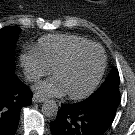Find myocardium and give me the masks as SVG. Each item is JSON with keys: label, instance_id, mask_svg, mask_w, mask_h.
<instances>
[{"label": "myocardium", "instance_id": "1", "mask_svg": "<svg viewBox=\"0 0 135 135\" xmlns=\"http://www.w3.org/2000/svg\"><path fill=\"white\" fill-rule=\"evenodd\" d=\"M90 48H97L100 50V52L102 54V64H101V67H100V70H99L97 77L95 78V80L91 83V85L86 90H84L83 92H81L79 94L67 93L68 97L73 99V100H80V99H84V98L88 97L91 93L94 92V90L100 84V82L104 76L106 66H107V56H106L105 50L103 49V47L101 45L96 44V43L82 45V46H79V47L73 49L65 57H63L62 59L57 61L55 63V65L52 67V72H53V74H55V72L58 69H60L63 66H66L71 61H73L77 55H79L81 52H83L87 49H90Z\"/></svg>", "mask_w": 135, "mask_h": 135}]
</instances>
